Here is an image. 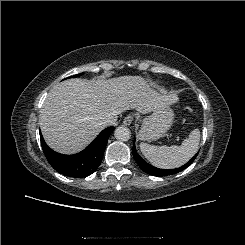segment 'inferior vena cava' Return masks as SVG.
<instances>
[{
    "instance_id": "1",
    "label": "inferior vena cava",
    "mask_w": 245,
    "mask_h": 245,
    "mask_svg": "<svg viewBox=\"0 0 245 245\" xmlns=\"http://www.w3.org/2000/svg\"><path fill=\"white\" fill-rule=\"evenodd\" d=\"M105 126H115L117 125V116H111L109 117L105 122Z\"/></svg>"
}]
</instances>
